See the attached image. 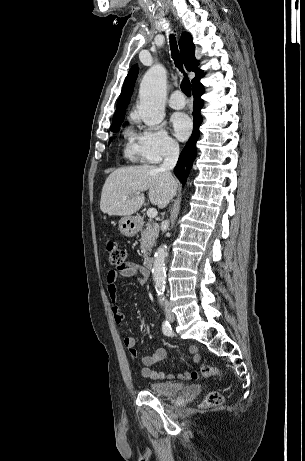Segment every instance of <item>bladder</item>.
Wrapping results in <instances>:
<instances>
[{
	"instance_id": "obj_1",
	"label": "bladder",
	"mask_w": 305,
	"mask_h": 461,
	"mask_svg": "<svg viewBox=\"0 0 305 461\" xmlns=\"http://www.w3.org/2000/svg\"><path fill=\"white\" fill-rule=\"evenodd\" d=\"M147 388L150 392L160 396H173L179 394L185 385L181 382L151 381Z\"/></svg>"
}]
</instances>
